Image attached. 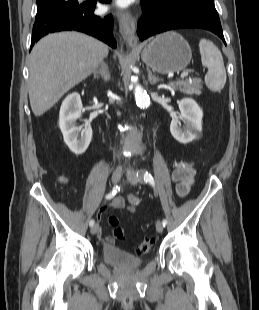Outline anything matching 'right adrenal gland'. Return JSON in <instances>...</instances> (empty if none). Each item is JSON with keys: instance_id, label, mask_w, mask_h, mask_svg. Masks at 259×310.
<instances>
[{"instance_id": "2a0ac1e0", "label": "right adrenal gland", "mask_w": 259, "mask_h": 310, "mask_svg": "<svg viewBox=\"0 0 259 310\" xmlns=\"http://www.w3.org/2000/svg\"><path fill=\"white\" fill-rule=\"evenodd\" d=\"M95 78L102 77L104 82H107L110 80V73L108 66L105 63L101 64V67L93 72Z\"/></svg>"}]
</instances>
